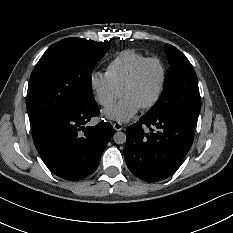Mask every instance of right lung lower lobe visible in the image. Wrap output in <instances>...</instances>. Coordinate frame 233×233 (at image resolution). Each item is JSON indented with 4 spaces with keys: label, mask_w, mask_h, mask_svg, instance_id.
I'll list each match as a JSON object with an SVG mask.
<instances>
[{
    "label": "right lung lower lobe",
    "mask_w": 233,
    "mask_h": 233,
    "mask_svg": "<svg viewBox=\"0 0 233 233\" xmlns=\"http://www.w3.org/2000/svg\"><path fill=\"white\" fill-rule=\"evenodd\" d=\"M95 100H83L63 116L32 123L33 140L47 167L66 180H79L98 167L113 136L110 123H86L98 116Z\"/></svg>",
    "instance_id": "1"
}]
</instances>
